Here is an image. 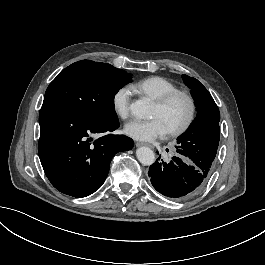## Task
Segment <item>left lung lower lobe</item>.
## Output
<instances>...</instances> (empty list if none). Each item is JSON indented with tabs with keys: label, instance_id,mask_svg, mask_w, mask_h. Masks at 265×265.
<instances>
[{
	"label": "left lung lower lobe",
	"instance_id": "1",
	"mask_svg": "<svg viewBox=\"0 0 265 265\" xmlns=\"http://www.w3.org/2000/svg\"><path fill=\"white\" fill-rule=\"evenodd\" d=\"M157 161L150 166L148 175L152 186L162 195L182 201L200 191L212 168L202 162L173 157L170 163Z\"/></svg>",
	"mask_w": 265,
	"mask_h": 265
}]
</instances>
